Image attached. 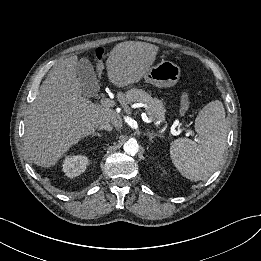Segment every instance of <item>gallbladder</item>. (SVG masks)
I'll list each match as a JSON object with an SVG mask.
<instances>
[{
    "label": "gallbladder",
    "instance_id": "1",
    "mask_svg": "<svg viewBox=\"0 0 261 261\" xmlns=\"http://www.w3.org/2000/svg\"><path fill=\"white\" fill-rule=\"evenodd\" d=\"M77 78L81 82L82 94L86 97L93 96L99 83L91 62L87 58H82L77 63Z\"/></svg>",
    "mask_w": 261,
    "mask_h": 261
}]
</instances>
